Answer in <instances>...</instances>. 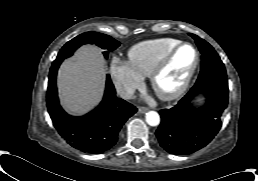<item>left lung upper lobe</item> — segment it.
<instances>
[{"label": "left lung upper lobe", "mask_w": 258, "mask_h": 181, "mask_svg": "<svg viewBox=\"0 0 258 181\" xmlns=\"http://www.w3.org/2000/svg\"><path fill=\"white\" fill-rule=\"evenodd\" d=\"M196 41V44L202 54L201 71L198 80L209 75H221L227 76L226 70L220 57L214 50V48L200 37L189 33Z\"/></svg>", "instance_id": "left-lung-upper-lobe-1"}]
</instances>
